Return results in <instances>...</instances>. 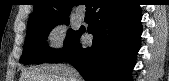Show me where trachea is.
<instances>
[{"instance_id":"3493384b","label":"trachea","mask_w":169,"mask_h":81,"mask_svg":"<svg viewBox=\"0 0 169 81\" xmlns=\"http://www.w3.org/2000/svg\"><path fill=\"white\" fill-rule=\"evenodd\" d=\"M85 5L87 10H90L92 7V4L90 2H87Z\"/></svg>"}]
</instances>
